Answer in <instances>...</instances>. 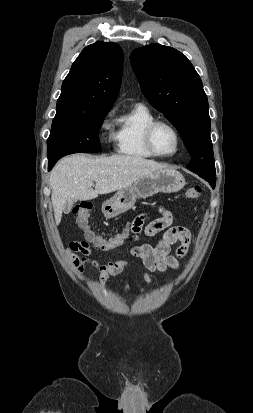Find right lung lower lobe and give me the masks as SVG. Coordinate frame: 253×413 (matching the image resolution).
Returning <instances> with one entry per match:
<instances>
[{
	"label": "right lung lower lobe",
	"mask_w": 253,
	"mask_h": 413,
	"mask_svg": "<svg viewBox=\"0 0 253 413\" xmlns=\"http://www.w3.org/2000/svg\"><path fill=\"white\" fill-rule=\"evenodd\" d=\"M57 161L48 162V170H51Z\"/></svg>",
	"instance_id": "obj_1"
}]
</instances>
